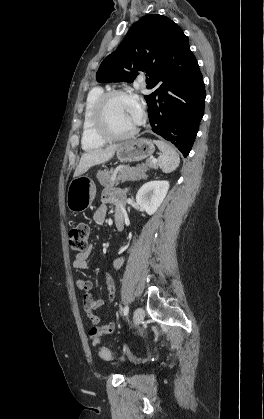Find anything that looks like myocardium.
<instances>
[{"mask_svg": "<svg viewBox=\"0 0 264 419\" xmlns=\"http://www.w3.org/2000/svg\"><path fill=\"white\" fill-rule=\"evenodd\" d=\"M116 97L133 99V96L124 90L115 89L103 93L97 100L92 115V124L95 133L105 141H120L132 137L137 132V126L124 133H114L107 121L106 110L109 102Z\"/></svg>", "mask_w": 264, "mask_h": 419, "instance_id": "obj_1", "label": "myocardium"}]
</instances>
